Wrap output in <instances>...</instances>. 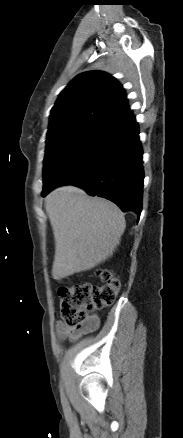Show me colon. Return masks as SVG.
<instances>
[{
	"instance_id": "obj_1",
	"label": "colon",
	"mask_w": 183,
	"mask_h": 438,
	"mask_svg": "<svg viewBox=\"0 0 183 438\" xmlns=\"http://www.w3.org/2000/svg\"><path fill=\"white\" fill-rule=\"evenodd\" d=\"M97 275L100 285L84 282L59 290L60 315L65 325L82 326L89 312L111 305L116 299L121 287L119 278L108 269H100Z\"/></svg>"
}]
</instances>
